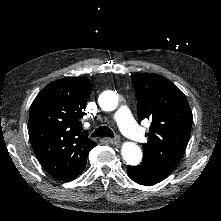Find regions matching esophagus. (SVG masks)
<instances>
[{"label": "esophagus", "mask_w": 221, "mask_h": 221, "mask_svg": "<svg viewBox=\"0 0 221 221\" xmlns=\"http://www.w3.org/2000/svg\"><path fill=\"white\" fill-rule=\"evenodd\" d=\"M106 141H108L110 144H117L119 142V136H116L114 139L111 138H105Z\"/></svg>", "instance_id": "obj_1"}]
</instances>
